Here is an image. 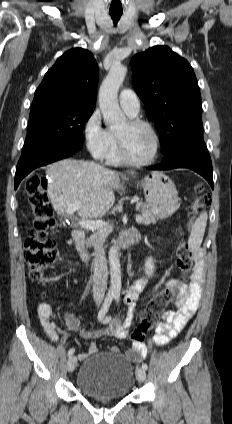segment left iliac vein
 <instances>
[{
	"label": "left iliac vein",
	"instance_id": "left-iliac-vein-1",
	"mask_svg": "<svg viewBox=\"0 0 232 424\" xmlns=\"http://www.w3.org/2000/svg\"><path fill=\"white\" fill-rule=\"evenodd\" d=\"M136 378L139 382H144L146 379V371L142 367H137Z\"/></svg>",
	"mask_w": 232,
	"mask_h": 424
}]
</instances>
